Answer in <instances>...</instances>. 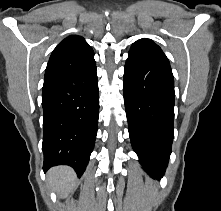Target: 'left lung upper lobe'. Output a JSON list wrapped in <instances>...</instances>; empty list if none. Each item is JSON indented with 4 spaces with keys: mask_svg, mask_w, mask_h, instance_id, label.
I'll list each match as a JSON object with an SVG mask.
<instances>
[{
    "mask_svg": "<svg viewBox=\"0 0 221 211\" xmlns=\"http://www.w3.org/2000/svg\"><path fill=\"white\" fill-rule=\"evenodd\" d=\"M129 53H141L150 57L161 59L169 63L168 58L163 53L161 48L156 45L151 39H140L133 43Z\"/></svg>",
    "mask_w": 221,
    "mask_h": 211,
    "instance_id": "1",
    "label": "left lung upper lobe"
}]
</instances>
